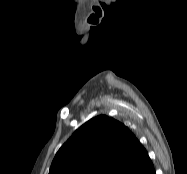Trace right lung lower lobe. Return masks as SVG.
I'll return each instance as SVG.
<instances>
[{
    "label": "right lung lower lobe",
    "instance_id": "obj_1",
    "mask_svg": "<svg viewBox=\"0 0 187 174\" xmlns=\"http://www.w3.org/2000/svg\"><path fill=\"white\" fill-rule=\"evenodd\" d=\"M151 174H155V170L153 172H151Z\"/></svg>",
    "mask_w": 187,
    "mask_h": 174
}]
</instances>
